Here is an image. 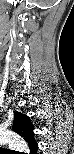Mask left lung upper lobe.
I'll return each mask as SVG.
<instances>
[{
  "mask_svg": "<svg viewBox=\"0 0 74 154\" xmlns=\"http://www.w3.org/2000/svg\"><path fill=\"white\" fill-rule=\"evenodd\" d=\"M18 115H16V117H15V120L17 121L18 120ZM21 119V118H20ZM14 120V121H15ZM21 121H23V120H21ZM18 122H19V120H18ZM13 129H17V125H13ZM17 132V131H16ZM21 131L18 129V134L20 133Z\"/></svg>",
  "mask_w": 74,
  "mask_h": 154,
  "instance_id": "1",
  "label": "left lung upper lobe"
}]
</instances>
